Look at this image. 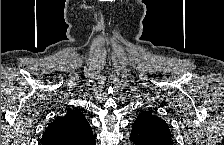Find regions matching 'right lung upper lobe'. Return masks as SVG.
<instances>
[{
	"label": "right lung upper lobe",
	"instance_id": "right-lung-upper-lobe-1",
	"mask_svg": "<svg viewBox=\"0 0 224 145\" xmlns=\"http://www.w3.org/2000/svg\"><path fill=\"white\" fill-rule=\"evenodd\" d=\"M95 138L85 116L78 110H69L47 127L43 145H93Z\"/></svg>",
	"mask_w": 224,
	"mask_h": 145
}]
</instances>
